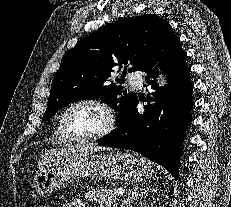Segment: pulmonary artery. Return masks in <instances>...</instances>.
<instances>
[{
	"label": "pulmonary artery",
	"instance_id": "pulmonary-artery-1",
	"mask_svg": "<svg viewBox=\"0 0 231 207\" xmlns=\"http://www.w3.org/2000/svg\"><path fill=\"white\" fill-rule=\"evenodd\" d=\"M127 78H128V82L131 86H133L135 88H140L142 86L143 79L139 73L132 72V73L128 74Z\"/></svg>",
	"mask_w": 231,
	"mask_h": 207
}]
</instances>
